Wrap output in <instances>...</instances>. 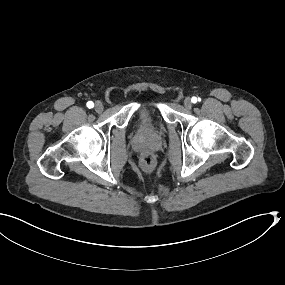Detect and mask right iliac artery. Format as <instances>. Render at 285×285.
<instances>
[{
	"instance_id": "obj_1",
	"label": "right iliac artery",
	"mask_w": 285,
	"mask_h": 285,
	"mask_svg": "<svg viewBox=\"0 0 285 285\" xmlns=\"http://www.w3.org/2000/svg\"><path fill=\"white\" fill-rule=\"evenodd\" d=\"M87 107L88 108H93L94 107V103L92 101L87 102Z\"/></svg>"
}]
</instances>
